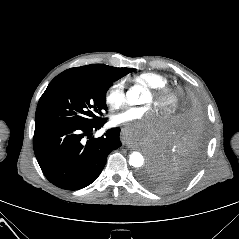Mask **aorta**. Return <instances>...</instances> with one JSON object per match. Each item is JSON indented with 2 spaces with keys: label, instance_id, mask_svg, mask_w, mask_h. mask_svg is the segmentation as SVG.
<instances>
[{
  "label": "aorta",
  "instance_id": "1",
  "mask_svg": "<svg viewBox=\"0 0 239 239\" xmlns=\"http://www.w3.org/2000/svg\"><path fill=\"white\" fill-rule=\"evenodd\" d=\"M142 89L139 87H132L127 91V99L131 104H136L139 100L140 93ZM145 159L144 156L137 151L132 152L129 155V164L135 168H140L144 165Z\"/></svg>",
  "mask_w": 239,
  "mask_h": 239
}]
</instances>
